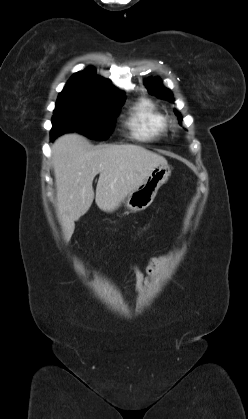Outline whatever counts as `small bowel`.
<instances>
[{
    "label": "small bowel",
    "mask_w": 248,
    "mask_h": 419,
    "mask_svg": "<svg viewBox=\"0 0 248 419\" xmlns=\"http://www.w3.org/2000/svg\"><path fill=\"white\" fill-rule=\"evenodd\" d=\"M168 258V255L153 258L147 267L146 275H144L143 272L137 266H133L138 281V290H141L152 280V278L158 273L159 269L167 262Z\"/></svg>",
    "instance_id": "small-bowel-1"
}]
</instances>
